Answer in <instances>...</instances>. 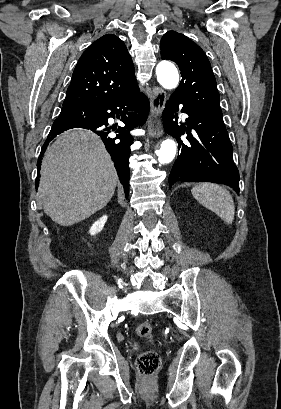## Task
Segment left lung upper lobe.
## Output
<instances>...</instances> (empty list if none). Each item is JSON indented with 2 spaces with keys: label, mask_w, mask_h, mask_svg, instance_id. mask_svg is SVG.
I'll use <instances>...</instances> for the list:
<instances>
[{
  "label": "left lung upper lobe",
  "mask_w": 281,
  "mask_h": 409,
  "mask_svg": "<svg viewBox=\"0 0 281 409\" xmlns=\"http://www.w3.org/2000/svg\"><path fill=\"white\" fill-rule=\"evenodd\" d=\"M160 45L162 59L174 61L181 70L182 80L174 94L204 113L223 120L216 80L203 50L176 31L165 33Z\"/></svg>",
  "instance_id": "left-lung-upper-lobe-1"
}]
</instances>
